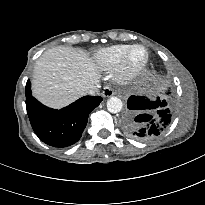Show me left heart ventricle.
I'll list each match as a JSON object with an SVG mask.
<instances>
[{
	"mask_svg": "<svg viewBox=\"0 0 205 205\" xmlns=\"http://www.w3.org/2000/svg\"><path fill=\"white\" fill-rule=\"evenodd\" d=\"M145 58V51L141 48H137L133 51L131 55V62L133 64H138Z\"/></svg>",
	"mask_w": 205,
	"mask_h": 205,
	"instance_id": "b2bd125f",
	"label": "left heart ventricle"
}]
</instances>
